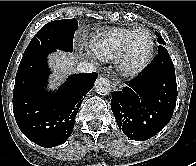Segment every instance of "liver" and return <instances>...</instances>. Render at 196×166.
Wrapping results in <instances>:
<instances>
[{
  "instance_id": "obj_1",
  "label": "liver",
  "mask_w": 196,
  "mask_h": 166,
  "mask_svg": "<svg viewBox=\"0 0 196 166\" xmlns=\"http://www.w3.org/2000/svg\"><path fill=\"white\" fill-rule=\"evenodd\" d=\"M49 64L53 70V76L50 77L52 81L51 88H53L56 81L59 80L60 75L70 73L74 70V67L78 64V58L73 54L67 56L66 53L57 51L49 56Z\"/></svg>"
}]
</instances>
